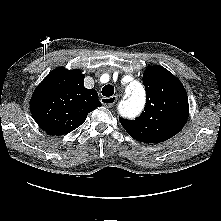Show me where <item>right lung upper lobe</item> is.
I'll return each mask as SVG.
<instances>
[{
    "label": "right lung upper lobe",
    "instance_id": "1",
    "mask_svg": "<svg viewBox=\"0 0 221 221\" xmlns=\"http://www.w3.org/2000/svg\"><path fill=\"white\" fill-rule=\"evenodd\" d=\"M79 70L59 67L46 76L35 89L30 110L37 124L49 135L67 134L102 106L94 89L84 87Z\"/></svg>",
    "mask_w": 221,
    "mask_h": 221
}]
</instances>
